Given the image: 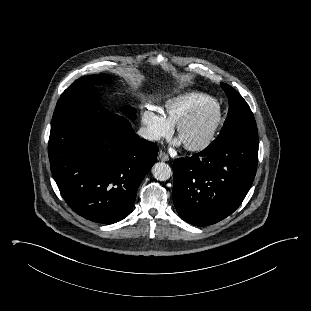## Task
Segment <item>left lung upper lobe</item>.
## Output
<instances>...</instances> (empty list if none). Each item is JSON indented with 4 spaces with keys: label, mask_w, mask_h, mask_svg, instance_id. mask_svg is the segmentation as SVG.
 Instances as JSON below:
<instances>
[{
    "label": "left lung upper lobe",
    "mask_w": 311,
    "mask_h": 311,
    "mask_svg": "<svg viewBox=\"0 0 311 311\" xmlns=\"http://www.w3.org/2000/svg\"><path fill=\"white\" fill-rule=\"evenodd\" d=\"M222 89L229 100L227 119L214 142L219 143L231 137H257V125L253 113L242 96L228 84L222 83Z\"/></svg>",
    "instance_id": "1"
}]
</instances>
